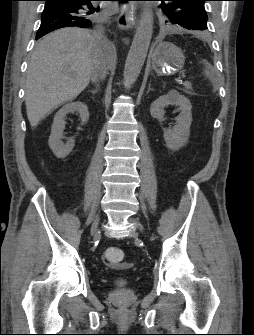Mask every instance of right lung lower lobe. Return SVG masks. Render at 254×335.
<instances>
[{"mask_svg":"<svg viewBox=\"0 0 254 335\" xmlns=\"http://www.w3.org/2000/svg\"><path fill=\"white\" fill-rule=\"evenodd\" d=\"M41 25L36 40L62 27H89L95 11L92 1L96 0H44Z\"/></svg>","mask_w":254,"mask_h":335,"instance_id":"obj_1","label":"right lung lower lobe"}]
</instances>
